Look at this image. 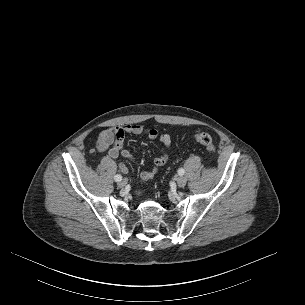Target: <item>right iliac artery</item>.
Wrapping results in <instances>:
<instances>
[{
	"instance_id": "right-iliac-artery-1",
	"label": "right iliac artery",
	"mask_w": 305,
	"mask_h": 305,
	"mask_svg": "<svg viewBox=\"0 0 305 305\" xmlns=\"http://www.w3.org/2000/svg\"><path fill=\"white\" fill-rule=\"evenodd\" d=\"M114 180H115L116 182H120V181L122 180V176L119 175V174H117V175L114 176Z\"/></svg>"
}]
</instances>
